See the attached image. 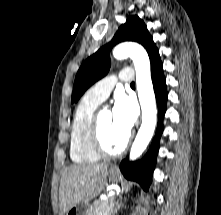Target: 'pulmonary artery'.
Listing matches in <instances>:
<instances>
[{
  "label": "pulmonary artery",
  "mask_w": 221,
  "mask_h": 215,
  "mask_svg": "<svg viewBox=\"0 0 221 215\" xmlns=\"http://www.w3.org/2000/svg\"><path fill=\"white\" fill-rule=\"evenodd\" d=\"M117 80L123 83H131L134 80L133 70L129 68L123 69L120 71L118 77L109 76L99 81L88 91V93L92 97L104 101L109 96Z\"/></svg>",
  "instance_id": "pulmonary-artery-1"
}]
</instances>
